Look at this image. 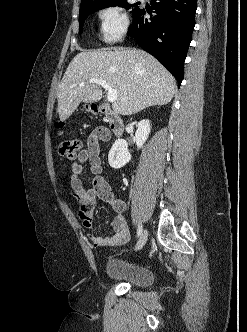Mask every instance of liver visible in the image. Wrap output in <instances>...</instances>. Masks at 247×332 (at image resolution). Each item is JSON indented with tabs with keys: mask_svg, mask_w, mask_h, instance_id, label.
I'll list each match as a JSON object with an SVG mask.
<instances>
[{
	"mask_svg": "<svg viewBox=\"0 0 247 332\" xmlns=\"http://www.w3.org/2000/svg\"><path fill=\"white\" fill-rule=\"evenodd\" d=\"M105 80L117 91L112 108L132 115L144 108L169 103L176 89L174 77L151 55L136 48L83 51L68 65L58 86L60 121H65L81 102H98L103 92L89 80ZM85 83L84 86H79Z\"/></svg>",
	"mask_w": 247,
	"mask_h": 332,
	"instance_id": "liver-1",
	"label": "liver"
}]
</instances>
